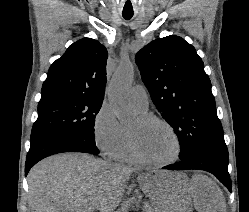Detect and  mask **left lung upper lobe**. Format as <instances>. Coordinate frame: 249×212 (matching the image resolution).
Masks as SVG:
<instances>
[{
  "label": "left lung upper lobe",
  "instance_id": "5c2ea615",
  "mask_svg": "<svg viewBox=\"0 0 249 212\" xmlns=\"http://www.w3.org/2000/svg\"><path fill=\"white\" fill-rule=\"evenodd\" d=\"M136 63L153 103L174 129L180 159L208 140L223 138L211 83L196 50L178 36L152 41Z\"/></svg>",
  "mask_w": 249,
  "mask_h": 212
}]
</instances>
